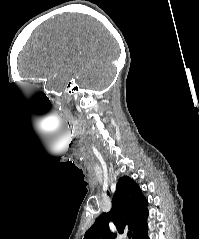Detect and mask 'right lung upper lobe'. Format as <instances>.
I'll return each mask as SVG.
<instances>
[{"label":"right lung upper lobe","mask_w":199,"mask_h":239,"mask_svg":"<svg viewBox=\"0 0 199 239\" xmlns=\"http://www.w3.org/2000/svg\"><path fill=\"white\" fill-rule=\"evenodd\" d=\"M147 204L140 187L134 180L128 176L120 178L112 198L110 212L103 213L96 219L85 233L84 239H114L116 235L110 231L109 221H113L119 233L128 228L134 234L147 221Z\"/></svg>","instance_id":"obj_1"}]
</instances>
